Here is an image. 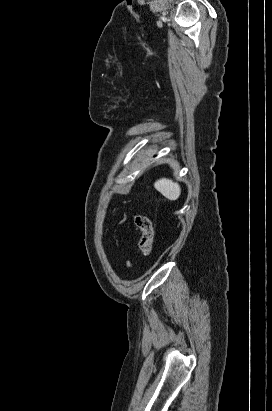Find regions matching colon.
I'll return each mask as SVG.
<instances>
[{
	"label": "colon",
	"instance_id": "obj_1",
	"mask_svg": "<svg viewBox=\"0 0 272 411\" xmlns=\"http://www.w3.org/2000/svg\"><path fill=\"white\" fill-rule=\"evenodd\" d=\"M135 224L139 230V249L143 255L149 256L153 248V227L150 218L144 214H137L135 216Z\"/></svg>",
	"mask_w": 272,
	"mask_h": 411
}]
</instances>
